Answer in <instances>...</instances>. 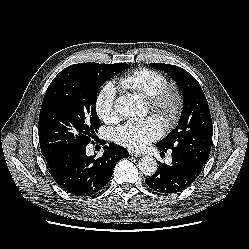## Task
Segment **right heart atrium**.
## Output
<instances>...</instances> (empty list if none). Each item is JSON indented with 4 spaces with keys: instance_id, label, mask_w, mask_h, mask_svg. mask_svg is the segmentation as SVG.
Instances as JSON below:
<instances>
[{
    "instance_id": "1",
    "label": "right heart atrium",
    "mask_w": 249,
    "mask_h": 249,
    "mask_svg": "<svg viewBox=\"0 0 249 249\" xmlns=\"http://www.w3.org/2000/svg\"><path fill=\"white\" fill-rule=\"evenodd\" d=\"M115 101L116 88L113 83L107 82L100 88L95 99V112L100 120L111 123L117 119Z\"/></svg>"
}]
</instances>
